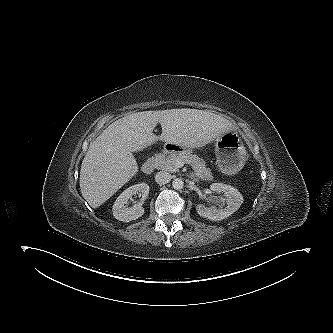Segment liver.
Wrapping results in <instances>:
<instances>
[{"label":"liver","mask_w":333,"mask_h":333,"mask_svg":"<svg viewBox=\"0 0 333 333\" xmlns=\"http://www.w3.org/2000/svg\"><path fill=\"white\" fill-rule=\"evenodd\" d=\"M160 124L161 136L153 134ZM227 119L197 109L137 112L110 124L90 145L80 170L82 196L98 208L138 172L133 152L158 140L183 149H197L232 131Z\"/></svg>","instance_id":"obj_1"}]
</instances>
